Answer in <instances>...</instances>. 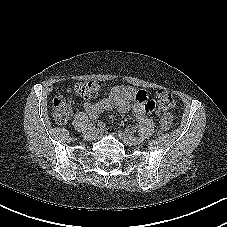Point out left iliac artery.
I'll use <instances>...</instances> for the list:
<instances>
[{
    "instance_id": "obj_1",
    "label": "left iliac artery",
    "mask_w": 227,
    "mask_h": 227,
    "mask_svg": "<svg viewBox=\"0 0 227 227\" xmlns=\"http://www.w3.org/2000/svg\"><path fill=\"white\" fill-rule=\"evenodd\" d=\"M139 141H144V136H139Z\"/></svg>"
}]
</instances>
